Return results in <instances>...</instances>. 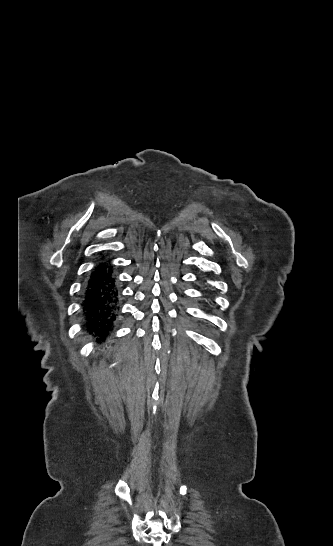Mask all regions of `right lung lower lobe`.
I'll return each instance as SVG.
<instances>
[{"instance_id": "right-lung-lower-lobe-1", "label": "right lung lower lobe", "mask_w": 333, "mask_h": 546, "mask_svg": "<svg viewBox=\"0 0 333 546\" xmlns=\"http://www.w3.org/2000/svg\"><path fill=\"white\" fill-rule=\"evenodd\" d=\"M118 283L109 261H101L84 285L81 315L83 328L105 342L113 332L119 311Z\"/></svg>"}]
</instances>
